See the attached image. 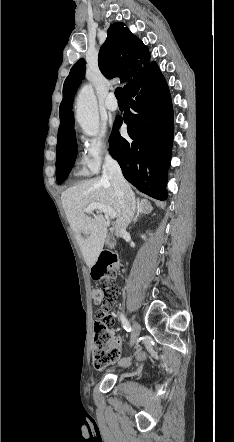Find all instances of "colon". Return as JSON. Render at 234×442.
I'll use <instances>...</instances> for the list:
<instances>
[{
    "label": "colon",
    "mask_w": 234,
    "mask_h": 442,
    "mask_svg": "<svg viewBox=\"0 0 234 442\" xmlns=\"http://www.w3.org/2000/svg\"><path fill=\"white\" fill-rule=\"evenodd\" d=\"M117 268V256L110 252L101 253L92 268L93 278L102 281L101 287L92 291L94 302L101 305V309L98 310L97 314H110L109 308L115 303L118 294V287L115 282ZM111 329L97 331L94 327L93 363L96 368L103 369L107 367L119 356V346L113 338ZM146 355L145 350H137L135 355H130V358L141 360ZM122 363H128V359Z\"/></svg>",
    "instance_id": "5ec220e1"
}]
</instances>
